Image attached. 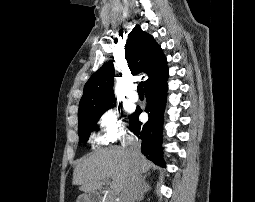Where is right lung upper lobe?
<instances>
[{
  "label": "right lung upper lobe",
  "instance_id": "1",
  "mask_svg": "<svg viewBox=\"0 0 255 202\" xmlns=\"http://www.w3.org/2000/svg\"><path fill=\"white\" fill-rule=\"evenodd\" d=\"M125 58L132 74L144 72L148 79L144 82V90L166 81L168 68L166 57L154 38L136 25L129 33L125 45ZM114 65L105 63L96 71L84 86V93L79 103L78 114L101 109L112 105Z\"/></svg>",
  "mask_w": 255,
  "mask_h": 202
}]
</instances>
